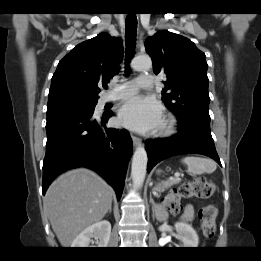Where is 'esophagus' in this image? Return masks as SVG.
I'll list each match as a JSON object with an SVG mask.
<instances>
[{
  "label": "esophagus",
  "mask_w": 261,
  "mask_h": 261,
  "mask_svg": "<svg viewBox=\"0 0 261 261\" xmlns=\"http://www.w3.org/2000/svg\"><path fill=\"white\" fill-rule=\"evenodd\" d=\"M131 137H132L133 144H134L135 146L141 144V139H140L139 137H136V136H134V135H132Z\"/></svg>",
  "instance_id": "obj_1"
}]
</instances>
